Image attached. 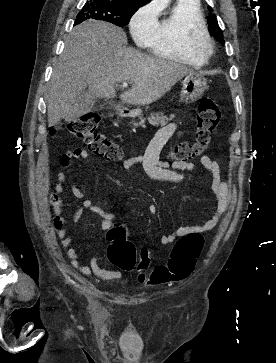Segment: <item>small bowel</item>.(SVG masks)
Instances as JSON below:
<instances>
[{
  "mask_svg": "<svg viewBox=\"0 0 276 363\" xmlns=\"http://www.w3.org/2000/svg\"><path fill=\"white\" fill-rule=\"evenodd\" d=\"M177 128L178 124L175 122L164 126L157 132L144 155L127 160H119V164L125 170H130L137 165H142L147 176L156 181L183 183L187 179L186 171H194L195 166L193 164L179 162L169 164L161 162L159 159L162 148L175 134ZM88 157V151L84 148L78 147L64 152L60 158V164L61 167L66 170L75 161H85ZM201 163L206 170L205 178L209 181L211 189L215 195V206L210 211L209 217L204 223L195 226L180 227L169 234L161 236L160 243L162 245H169L177 238L190 233H207L211 231L217 226L222 215L227 209L230 198V190L227 182L222 181L219 177L218 164L208 156L202 157ZM66 180V173L61 171L58 174V183L55 186L58 193H63L65 191L64 182ZM70 191L76 198L85 197L86 192L83 186L72 184ZM85 210H89L102 218L101 227L103 229L110 228L118 219L117 214L106 212L103 208L96 205L92 199L86 198L83 201L82 207L75 211L73 220L77 221ZM155 212L156 207L154 205H150L149 214L154 215ZM58 238L61 241V245L64 248H68L66 254L72 266L83 275L87 277L97 276L108 281L121 279L122 273L120 271L107 269L101 266V263L106 259V255L104 253L98 256H93L91 252L81 253L76 248H69L74 242V239L67 236L66 229L58 231ZM91 241L92 240L88 239L83 240V242ZM84 260H89V265H82L81 262Z\"/></svg>",
  "mask_w": 276,
  "mask_h": 363,
  "instance_id": "1",
  "label": "small bowel"
}]
</instances>
